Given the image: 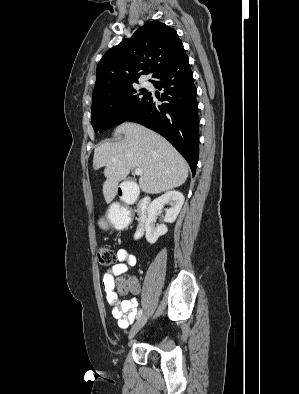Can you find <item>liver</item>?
Masks as SVG:
<instances>
[{
    "label": "liver",
    "mask_w": 299,
    "mask_h": 394,
    "mask_svg": "<svg viewBox=\"0 0 299 394\" xmlns=\"http://www.w3.org/2000/svg\"><path fill=\"white\" fill-rule=\"evenodd\" d=\"M114 133L124 138L101 144L93 157L95 170L105 167L103 195L107 203L114 199L119 182L132 169H142L139 187L148 194H159L185 183L187 162L165 138L135 123H123Z\"/></svg>",
    "instance_id": "6515ba94"
}]
</instances>
